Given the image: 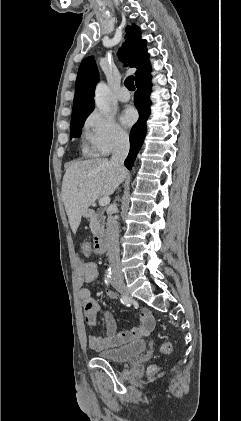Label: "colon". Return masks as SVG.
Masks as SVG:
<instances>
[{"label":"colon","instance_id":"5ec220e1","mask_svg":"<svg viewBox=\"0 0 241 421\" xmlns=\"http://www.w3.org/2000/svg\"><path fill=\"white\" fill-rule=\"evenodd\" d=\"M80 251L83 255L87 256L92 251H94V248H93V245L89 241H83L80 245ZM171 350H172L171 343L169 341L163 342V344L161 345V351L167 354V353H170ZM152 370L154 369L152 368Z\"/></svg>","mask_w":241,"mask_h":421}]
</instances>
